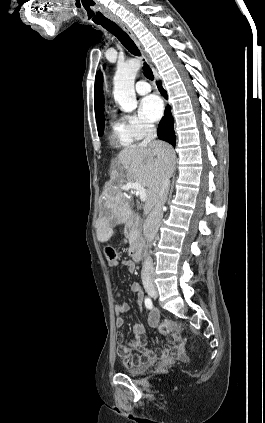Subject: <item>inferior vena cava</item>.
I'll return each mask as SVG.
<instances>
[{
  "mask_svg": "<svg viewBox=\"0 0 265 423\" xmlns=\"http://www.w3.org/2000/svg\"><path fill=\"white\" fill-rule=\"evenodd\" d=\"M156 138H157L156 127L153 124L148 123L146 125V136L141 142V145L147 146L151 144L152 142H155L154 140ZM169 185H170V175L166 171L163 176V180H162V184L160 187L156 204L153 210L151 211V213L149 214V217L143 226V234L145 239L147 240V244L149 248H151V243L153 242L158 232L159 222L163 215V206L166 202V198L169 191ZM153 274H154L153 262L151 257L148 256L143 264L141 278L142 280H146L148 278H151Z\"/></svg>",
  "mask_w": 265,
  "mask_h": 423,
  "instance_id": "1",
  "label": "inferior vena cava"
}]
</instances>
